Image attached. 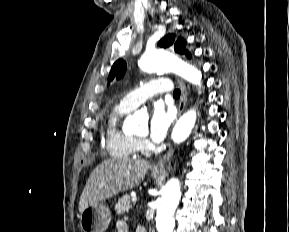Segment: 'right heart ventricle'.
<instances>
[{
  "label": "right heart ventricle",
  "mask_w": 289,
  "mask_h": 232,
  "mask_svg": "<svg viewBox=\"0 0 289 232\" xmlns=\"http://www.w3.org/2000/svg\"><path fill=\"white\" fill-rule=\"evenodd\" d=\"M130 111L121 103H118L107 116L105 139L106 148L111 156L134 158L141 149L140 141L136 137L125 133L120 127L121 119Z\"/></svg>",
  "instance_id": "obj_1"
}]
</instances>
